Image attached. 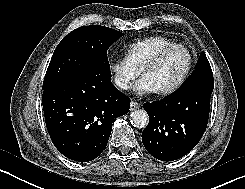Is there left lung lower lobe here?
Segmentation results:
<instances>
[{
  "mask_svg": "<svg viewBox=\"0 0 245 189\" xmlns=\"http://www.w3.org/2000/svg\"><path fill=\"white\" fill-rule=\"evenodd\" d=\"M212 91L188 86L160 101L145 103L149 123L142 142L146 150L162 161L177 160L190 152L205 132Z\"/></svg>",
  "mask_w": 245,
  "mask_h": 189,
  "instance_id": "left-lung-lower-lobe-1",
  "label": "left lung lower lobe"
}]
</instances>
